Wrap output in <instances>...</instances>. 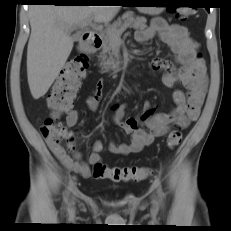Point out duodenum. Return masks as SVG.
<instances>
[{
    "mask_svg": "<svg viewBox=\"0 0 231 231\" xmlns=\"http://www.w3.org/2000/svg\"><path fill=\"white\" fill-rule=\"evenodd\" d=\"M102 45L100 34L96 31H87L82 36L81 50L84 53H93ZM123 63V61L121 62Z\"/></svg>",
    "mask_w": 231,
    "mask_h": 231,
    "instance_id": "duodenum-1",
    "label": "duodenum"
}]
</instances>
